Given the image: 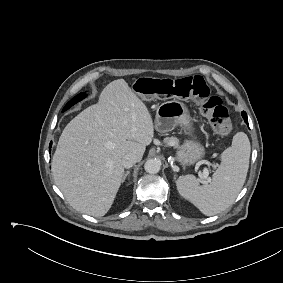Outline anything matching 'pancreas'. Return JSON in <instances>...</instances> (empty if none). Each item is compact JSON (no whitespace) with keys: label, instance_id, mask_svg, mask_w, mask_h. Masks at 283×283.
<instances>
[{"label":"pancreas","instance_id":"obj_1","mask_svg":"<svg viewBox=\"0 0 283 283\" xmlns=\"http://www.w3.org/2000/svg\"><path fill=\"white\" fill-rule=\"evenodd\" d=\"M165 141L171 143L175 148L179 146V140L175 137L166 138Z\"/></svg>","mask_w":283,"mask_h":283}]
</instances>
